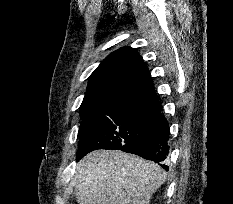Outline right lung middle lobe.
Wrapping results in <instances>:
<instances>
[{
    "mask_svg": "<svg viewBox=\"0 0 233 204\" xmlns=\"http://www.w3.org/2000/svg\"><path fill=\"white\" fill-rule=\"evenodd\" d=\"M81 119L79 147L118 149L158 134L168 126L152 101L112 104Z\"/></svg>",
    "mask_w": 233,
    "mask_h": 204,
    "instance_id": "1",
    "label": "right lung middle lobe"
}]
</instances>
